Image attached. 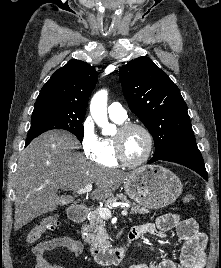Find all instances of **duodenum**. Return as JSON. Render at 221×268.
Returning <instances> with one entry per match:
<instances>
[{"instance_id": "duodenum-1", "label": "duodenum", "mask_w": 221, "mask_h": 268, "mask_svg": "<svg viewBox=\"0 0 221 268\" xmlns=\"http://www.w3.org/2000/svg\"><path fill=\"white\" fill-rule=\"evenodd\" d=\"M88 209L83 206H75L69 210V217L73 222L80 223L86 220ZM137 239L131 230L126 244L118 248L90 247L89 253L95 262L101 265H119L126 257L131 244Z\"/></svg>"}]
</instances>
